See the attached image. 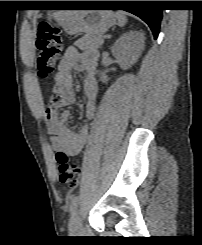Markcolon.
<instances>
[{
  "mask_svg": "<svg viewBox=\"0 0 202 245\" xmlns=\"http://www.w3.org/2000/svg\"><path fill=\"white\" fill-rule=\"evenodd\" d=\"M36 45V68L40 78H49L55 71L58 57L62 50L60 30L48 20L38 25ZM60 181L72 188L79 186L81 167L76 162H70L65 152L57 153Z\"/></svg>",
  "mask_w": 202,
  "mask_h": 245,
  "instance_id": "1",
  "label": "colon"
}]
</instances>
